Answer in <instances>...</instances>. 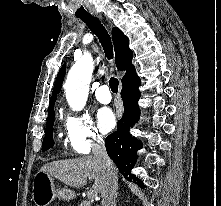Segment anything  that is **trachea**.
Wrapping results in <instances>:
<instances>
[{
	"mask_svg": "<svg viewBox=\"0 0 221 206\" xmlns=\"http://www.w3.org/2000/svg\"><path fill=\"white\" fill-rule=\"evenodd\" d=\"M78 18H80L84 23H86L88 28L98 37L100 43L102 44L106 57L108 59H112L113 58V45L111 42V38L107 30L105 29V27L99 21V19L91 15L80 16ZM118 84H119L118 79L114 77L110 78L109 86L113 93L118 92Z\"/></svg>",
	"mask_w": 221,
	"mask_h": 206,
	"instance_id": "trachea-1",
	"label": "trachea"
}]
</instances>
